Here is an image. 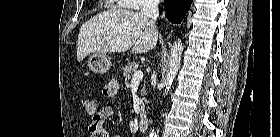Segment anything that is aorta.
Returning a JSON list of instances; mask_svg holds the SVG:
<instances>
[{"instance_id":"aorta-1","label":"aorta","mask_w":280,"mask_h":137,"mask_svg":"<svg viewBox=\"0 0 280 137\" xmlns=\"http://www.w3.org/2000/svg\"><path fill=\"white\" fill-rule=\"evenodd\" d=\"M182 51H183V44L181 39H177L170 49V58H169V66L166 78L163 82V86L165 88L164 96L167 95L169 92L171 85L177 75V72L180 67L181 57H182ZM149 137H156L155 129H151L149 133Z\"/></svg>"}]
</instances>
